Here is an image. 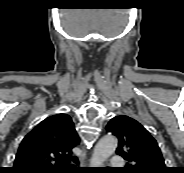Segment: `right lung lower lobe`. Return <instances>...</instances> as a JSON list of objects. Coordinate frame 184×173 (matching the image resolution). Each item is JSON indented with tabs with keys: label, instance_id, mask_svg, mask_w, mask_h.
Wrapping results in <instances>:
<instances>
[{
	"label": "right lung lower lobe",
	"instance_id": "98d812e1",
	"mask_svg": "<svg viewBox=\"0 0 184 173\" xmlns=\"http://www.w3.org/2000/svg\"><path fill=\"white\" fill-rule=\"evenodd\" d=\"M73 171L72 170H67V171H64L63 173H72Z\"/></svg>",
	"mask_w": 184,
	"mask_h": 173
}]
</instances>
